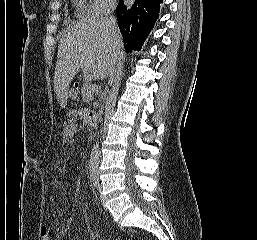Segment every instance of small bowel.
I'll use <instances>...</instances> for the list:
<instances>
[{
	"instance_id": "small-bowel-1",
	"label": "small bowel",
	"mask_w": 257,
	"mask_h": 240,
	"mask_svg": "<svg viewBox=\"0 0 257 240\" xmlns=\"http://www.w3.org/2000/svg\"><path fill=\"white\" fill-rule=\"evenodd\" d=\"M72 227V220L70 218H65L62 221L61 226L57 230L55 240H61L63 237L69 235Z\"/></svg>"
}]
</instances>
